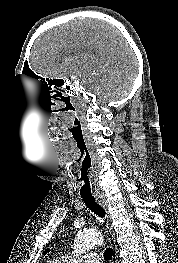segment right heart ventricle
<instances>
[{
  "instance_id": "1",
  "label": "right heart ventricle",
  "mask_w": 178,
  "mask_h": 263,
  "mask_svg": "<svg viewBox=\"0 0 178 263\" xmlns=\"http://www.w3.org/2000/svg\"><path fill=\"white\" fill-rule=\"evenodd\" d=\"M49 263H61V262L57 260H53V261H50Z\"/></svg>"
}]
</instances>
